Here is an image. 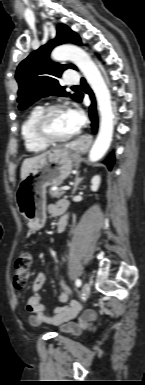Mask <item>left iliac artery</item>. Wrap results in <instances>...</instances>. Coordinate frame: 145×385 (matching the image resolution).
Masks as SVG:
<instances>
[{
	"label": "left iliac artery",
	"instance_id": "1",
	"mask_svg": "<svg viewBox=\"0 0 145 385\" xmlns=\"http://www.w3.org/2000/svg\"><path fill=\"white\" fill-rule=\"evenodd\" d=\"M81 284H82L81 280H80V279H76L75 285H76L77 287H80Z\"/></svg>",
	"mask_w": 145,
	"mask_h": 385
}]
</instances>
